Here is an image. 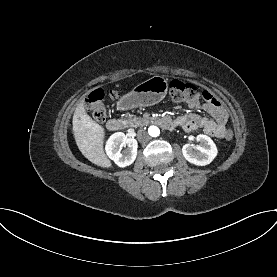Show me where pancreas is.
I'll list each match as a JSON object with an SVG mask.
<instances>
[{
    "instance_id": "1",
    "label": "pancreas",
    "mask_w": 277,
    "mask_h": 277,
    "mask_svg": "<svg viewBox=\"0 0 277 277\" xmlns=\"http://www.w3.org/2000/svg\"><path fill=\"white\" fill-rule=\"evenodd\" d=\"M125 123L129 127H135V128L144 125L143 120L141 118L137 117V116H134V115H129L125 119Z\"/></svg>"
}]
</instances>
